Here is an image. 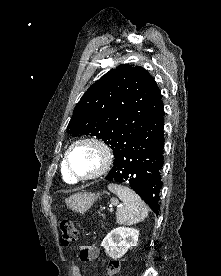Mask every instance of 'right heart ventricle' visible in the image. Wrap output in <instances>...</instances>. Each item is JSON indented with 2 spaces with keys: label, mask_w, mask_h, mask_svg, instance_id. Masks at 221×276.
Instances as JSON below:
<instances>
[{
  "label": "right heart ventricle",
  "mask_w": 221,
  "mask_h": 276,
  "mask_svg": "<svg viewBox=\"0 0 221 276\" xmlns=\"http://www.w3.org/2000/svg\"><path fill=\"white\" fill-rule=\"evenodd\" d=\"M61 171H62V176H63L64 180H66L68 182H74V180L68 175V173L65 169L64 163H62Z\"/></svg>",
  "instance_id": "right-heart-ventricle-1"
}]
</instances>
